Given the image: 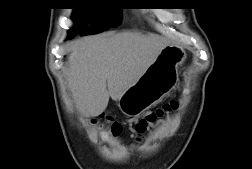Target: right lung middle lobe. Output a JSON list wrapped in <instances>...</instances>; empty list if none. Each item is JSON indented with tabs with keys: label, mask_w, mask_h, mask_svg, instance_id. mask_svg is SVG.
<instances>
[{
	"label": "right lung middle lobe",
	"mask_w": 252,
	"mask_h": 169,
	"mask_svg": "<svg viewBox=\"0 0 252 169\" xmlns=\"http://www.w3.org/2000/svg\"><path fill=\"white\" fill-rule=\"evenodd\" d=\"M110 1L112 0H74L77 7L73 12V19L80 25L70 30L68 39L74 38L78 33L96 34L119 25L121 8L111 7ZM103 6L107 7L102 8ZM88 22L91 27L86 32L80 31V26Z\"/></svg>",
	"instance_id": "1"
}]
</instances>
